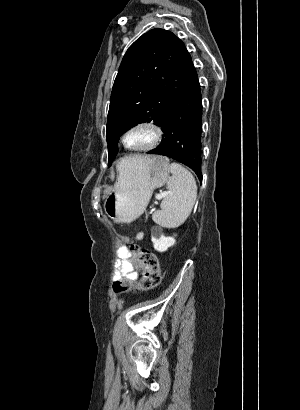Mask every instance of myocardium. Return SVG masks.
Wrapping results in <instances>:
<instances>
[{
  "instance_id": "obj_1",
  "label": "myocardium",
  "mask_w": 300,
  "mask_h": 410,
  "mask_svg": "<svg viewBox=\"0 0 300 410\" xmlns=\"http://www.w3.org/2000/svg\"><path fill=\"white\" fill-rule=\"evenodd\" d=\"M139 129H146L149 130L152 133V140L141 147H130L126 144V137L127 135H129L131 132L139 130ZM164 137V131L162 129V127L157 124L154 121H150V120H142V121H138L134 124H132L131 126H129L121 135L120 141L122 146L131 152H146V151H150L153 150L155 148H157Z\"/></svg>"
}]
</instances>
